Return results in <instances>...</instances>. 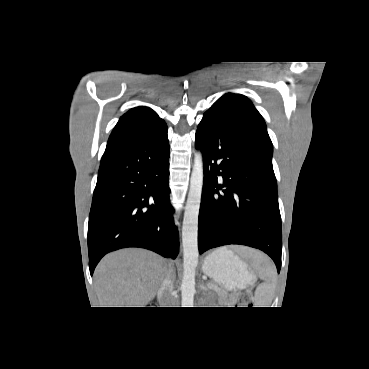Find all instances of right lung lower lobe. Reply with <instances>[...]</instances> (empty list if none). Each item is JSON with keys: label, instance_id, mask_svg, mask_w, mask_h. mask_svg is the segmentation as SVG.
<instances>
[{"label": "right lung lower lobe", "instance_id": "right-lung-lower-lobe-1", "mask_svg": "<svg viewBox=\"0 0 369 369\" xmlns=\"http://www.w3.org/2000/svg\"><path fill=\"white\" fill-rule=\"evenodd\" d=\"M169 141L161 134L104 153L88 224L90 274L108 252L141 247L176 258Z\"/></svg>", "mask_w": 369, "mask_h": 369}]
</instances>
